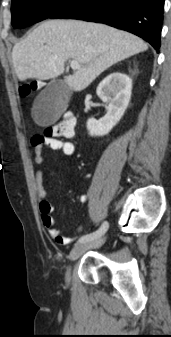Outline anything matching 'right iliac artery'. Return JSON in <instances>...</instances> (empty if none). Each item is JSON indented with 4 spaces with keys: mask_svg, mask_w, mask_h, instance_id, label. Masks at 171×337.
<instances>
[{
    "mask_svg": "<svg viewBox=\"0 0 171 337\" xmlns=\"http://www.w3.org/2000/svg\"><path fill=\"white\" fill-rule=\"evenodd\" d=\"M108 227H109V224H108L107 221H105V222H103V224L101 225V227H100L97 231L82 236V237L78 240V242H79V243H83V242L93 241V240H95V239L101 237V236L108 230Z\"/></svg>",
    "mask_w": 171,
    "mask_h": 337,
    "instance_id": "1",
    "label": "right iliac artery"
}]
</instances>
